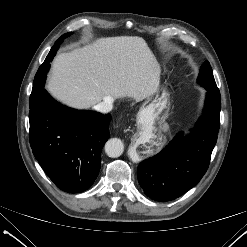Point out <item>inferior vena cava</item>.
Here are the masks:
<instances>
[{
  "instance_id": "inferior-vena-cava-1",
  "label": "inferior vena cava",
  "mask_w": 247,
  "mask_h": 247,
  "mask_svg": "<svg viewBox=\"0 0 247 247\" xmlns=\"http://www.w3.org/2000/svg\"><path fill=\"white\" fill-rule=\"evenodd\" d=\"M113 99L111 97L105 98L102 102L94 106V109L101 113H108L113 108Z\"/></svg>"
}]
</instances>
